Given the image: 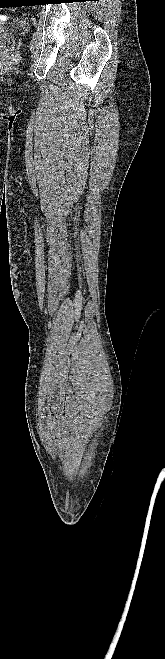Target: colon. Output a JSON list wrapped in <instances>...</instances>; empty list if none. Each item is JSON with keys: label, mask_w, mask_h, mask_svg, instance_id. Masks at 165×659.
<instances>
[{"label": "colon", "mask_w": 165, "mask_h": 659, "mask_svg": "<svg viewBox=\"0 0 165 659\" xmlns=\"http://www.w3.org/2000/svg\"><path fill=\"white\" fill-rule=\"evenodd\" d=\"M12 45H13V37L9 33L5 34L0 42V46L3 49H10Z\"/></svg>", "instance_id": "5ec220e1"}]
</instances>
